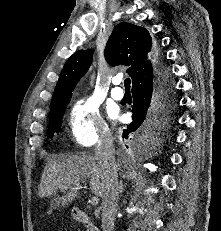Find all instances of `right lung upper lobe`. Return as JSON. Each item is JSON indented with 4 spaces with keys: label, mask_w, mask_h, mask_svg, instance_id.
<instances>
[{
    "label": "right lung upper lobe",
    "mask_w": 221,
    "mask_h": 231,
    "mask_svg": "<svg viewBox=\"0 0 221 231\" xmlns=\"http://www.w3.org/2000/svg\"><path fill=\"white\" fill-rule=\"evenodd\" d=\"M158 55L149 32L127 22L114 28L105 48V58L110 65H131L127 73L132 77V89L154 80ZM91 62L92 50H79L67 60L53 93L50 112L71 98L75 85Z\"/></svg>",
    "instance_id": "1"
}]
</instances>
